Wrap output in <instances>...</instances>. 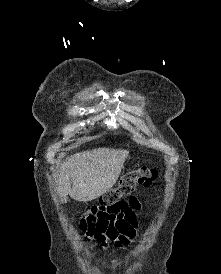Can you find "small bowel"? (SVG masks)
<instances>
[{
    "mask_svg": "<svg viewBox=\"0 0 221 274\" xmlns=\"http://www.w3.org/2000/svg\"><path fill=\"white\" fill-rule=\"evenodd\" d=\"M141 204L134 196L115 205H95L80 219L79 227L88 244L102 248H127L136 238L137 211Z\"/></svg>",
    "mask_w": 221,
    "mask_h": 274,
    "instance_id": "obj_1",
    "label": "small bowel"
}]
</instances>
